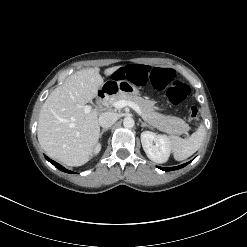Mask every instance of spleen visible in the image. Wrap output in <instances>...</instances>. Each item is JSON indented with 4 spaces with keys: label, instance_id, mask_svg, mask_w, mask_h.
Segmentation results:
<instances>
[{
    "label": "spleen",
    "instance_id": "3e777b00",
    "mask_svg": "<svg viewBox=\"0 0 247 247\" xmlns=\"http://www.w3.org/2000/svg\"><path fill=\"white\" fill-rule=\"evenodd\" d=\"M205 135V128L203 124H200L197 131L187 139H182L173 135L169 136L174 158L177 161H182L192 156L202 145Z\"/></svg>",
    "mask_w": 247,
    "mask_h": 247
}]
</instances>
